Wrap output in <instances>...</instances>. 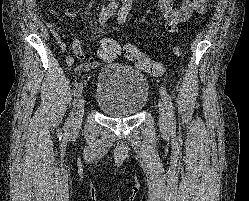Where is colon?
Returning a JSON list of instances; mask_svg holds the SVG:
<instances>
[{
  "label": "colon",
  "instance_id": "1",
  "mask_svg": "<svg viewBox=\"0 0 249 201\" xmlns=\"http://www.w3.org/2000/svg\"><path fill=\"white\" fill-rule=\"evenodd\" d=\"M119 45L110 39L101 41L98 55L104 61H113L120 54ZM172 54L179 57L183 54V46L175 44L171 50ZM123 53L126 59L134 62V64L154 76H160L164 72V65L161 62L152 60L148 55L142 53L135 45L127 44L123 48Z\"/></svg>",
  "mask_w": 249,
  "mask_h": 201
}]
</instances>
